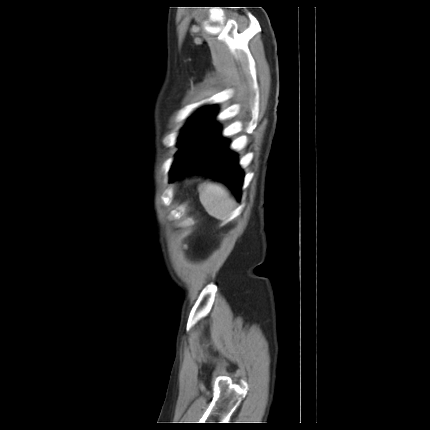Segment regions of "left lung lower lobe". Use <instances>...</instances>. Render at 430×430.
I'll list each match as a JSON object with an SVG mask.
<instances>
[{
	"label": "left lung lower lobe",
	"mask_w": 430,
	"mask_h": 430,
	"mask_svg": "<svg viewBox=\"0 0 430 430\" xmlns=\"http://www.w3.org/2000/svg\"><path fill=\"white\" fill-rule=\"evenodd\" d=\"M177 154L170 181L185 173L204 174L224 182L240 199L243 173L237 155L228 150L226 139L221 138L219 125L211 120L202 122Z\"/></svg>",
	"instance_id": "left-lung-lower-lobe-1"
}]
</instances>
